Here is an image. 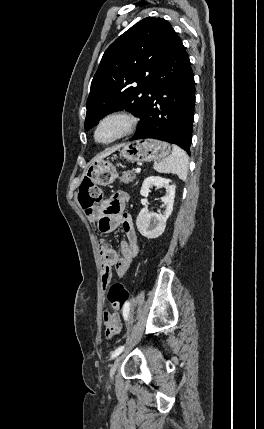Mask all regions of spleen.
Instances as JSON below:
<instances>
[{"label":"spleen","instance_id":"obj_1","mask_svg":"<svg viewBox=\"0 0 264 429\" xmlns=\"http://www.w3.org/2000/svg\"><path fill=\"white\" fill-rule=\"evenodd\" d=\"M189 158L186 152L172 145V154L161 162H156L153 166L154 170L160 173L176 174L179 179L185 181L188 174Z\"/></svg>","mask_w":264,"mask_h":429}]
</instances>
